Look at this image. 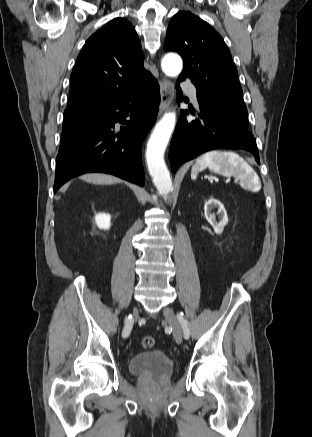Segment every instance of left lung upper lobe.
<instances>
[{
    "label": "left lung upper lobe",
    "mask_w": 312,
    "mask_h": 437,
    "mask_svg": "<svg viewBox=\"0 0 312 437\" xmlns=\"http://www.w3.org/2000/svg\"><path fill=\"white\" fill-rule=\"evenodd\" d=\"M164 49L182 56L184 68L179 80L191 79L198 101L227 110L249 130L248 113L231 53L208 23L190 12L177 13L169 23Z\"/></svg>",
    "instance_id": "1"
}]
</instances>
